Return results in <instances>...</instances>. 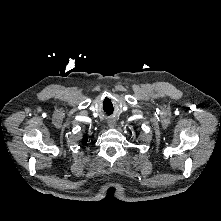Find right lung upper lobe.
Masks as SVG:
<instances>
[{
	"label": "right lung upper lobe",
	"instance_id": "obj_1",
	"mask_svg": "<svg viewBox=\"0 0 221 221\" xmlns=\"http://www.w3.org/2000/svg\"><path fill=\"white\" fill-rule=\"evenodd\" d=\"M87 140H88V138L86 137V138H84V140H83V141H84V142H87Z\"/></svg>",
	"mask_w": 221,
	"mask_h": 221
}]
</instances>
